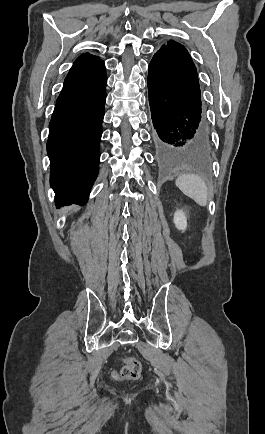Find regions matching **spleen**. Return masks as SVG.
I'll use <instances>...</instances> for the list:
<instances>
[{
    "label": "spleen",
    "mask_w": 265,
    "mask_h": 434,
    "mask_svg": "<svg viewBox=\"0 0 265 434\" xmlns=\"http://www.w3.org/2000/svg\"><path fill=\"white\" fill-rule=\"evenodd\" d=\"M175 184L185 196L192 198L196 204L207 206V186L199 176H195V174H183V176L177 178Z\"/></svg>",
    "instance_id": "3e777b00"
}]
</instances>
